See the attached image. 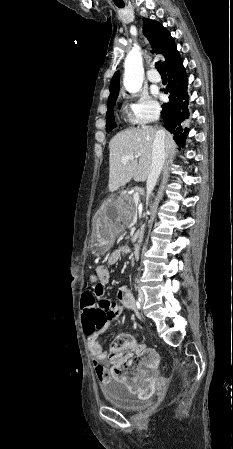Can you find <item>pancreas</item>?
Here are the masks:
<instances>
[{"instance_id":"1","label":"pancreas","mask_w":233,"mask_h":449,"mask_svg":"<svg viewBox=\"0 0 233 449\" xmlns=\"http://www.w3.org/2000/svg\"><path fill=\"white\" fill-rule=\"evenodd\" d=\"M119 208L120 213L124 218H130L135 214V205L130 195H123L120 197Z\"/></svg>"}]
</instances>
